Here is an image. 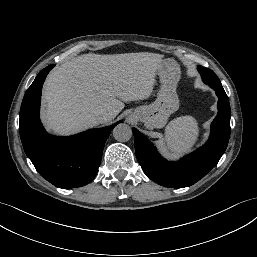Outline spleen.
<instances>
[{
  "label": "spleen",
  "instance_id": "spleen-1",
  "mask_svg": "<svg viewBox=\"0 0 257 257\" xmlns=\"http://www.w3.org/2000/svg\"><path fill=\"white\" fill-rule=\"evenodd\" d=\"M199 137L198 122L192 116L175 119L165 131L167 148L179 157L193 148Z\"/></svg>",
  "mask_w": 257,
  "mask_h": 257
}]
</instances>
